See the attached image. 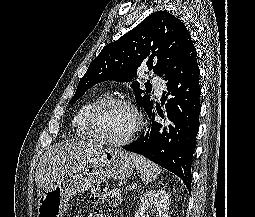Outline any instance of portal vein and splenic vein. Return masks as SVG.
<instances>
[{
    "label": "portal vein and splenic vein",
    "mask_w": 255,
    "mask_h": 217,
    "mask_svg": "<svg viewBox=\"0 0 255 217\" xmlns=\"http://www.w3.org/2000/svg\"><path fill=\"white\" fill-rule=\"evenodd\" d=\"M126 190L130 191L132 190V187L130 185H127Z\"/></svg>",
    "instance_id": "portal-vein-and-splenic-vein-1"
}]
</instances>
